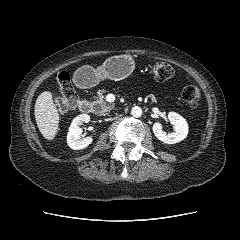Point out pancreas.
<instances>
[{
    "instance_id": "pancreas-1",
    "label": "pancreas",
    "mask_w": 240,
    "mask_h": 240,
    "mask_svg": "<svg viewBox=\"0 0 240 240\" xmlns=\"http://www.w3.org/2000/svg\"><path fill=\"white\" fill-rule=\"evenodd\" d=\"M105 92V90H99L93 101L94 110L100 116L105 115L114 108V104H108L105 100Z\"/></svg>"
}]
</instances>
